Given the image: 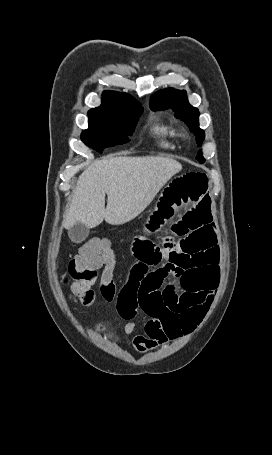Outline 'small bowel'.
Masks as SVG:
<instances>
[{"label": "small bowel", "mask_w": 272, "mask_h": 455, "mask_svg": "<svg viewBox=\"0 0 272 455\" xmlns=\"http://www.w3.org/2000/svg\"><path fill=\"white\" fill-rule=\"evenodd\" d=\"M208 190L205 173L175 176L145 228L153 233L169 224L179 239L167 237L161 245L135 239L136 263L115 301L126 335L135 331L139 313L149 317L145 333L133 339L139 353L190 334L214 299L220 254Z\"/></svg>", "instance_id": "obj_1"}]
</instances>
